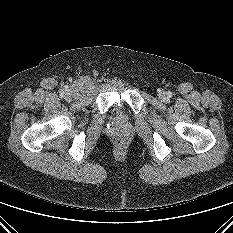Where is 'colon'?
Instances as JSON below:
<instances>
[{
    "label": "colon",
    "instance_id": "colon-1",
    "mask_svg": "<svg viewBox=\"0 0 233 233\" xmlns=\"http://www.w3.org/2000/svg\"><path fill=\"white\" fill-rule=\"evenodd\" d=\"M116 144H117L119 147H121V146L124 145V140L120 138V139H118V140L116 141Z\"/></svg>",
    "mask_w": 233,
    "mask_h": 233
}]
</instances>
